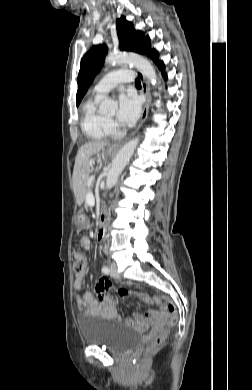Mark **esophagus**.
<instances>
[{
	"label": "esophagus",
	"instance_id": "1",
	"mask_svg": "<svg viewBox=\"0 0 252 390\" xmlns=\"http://www.w3.org/2000/svg\"><path fill=\"white\" fill-rule=\"evenodd\" d=\"M137 75L141 81V86H142V94L145 96V103L143 105V109H142V114H141V119H140V122L138 124V126L136 127L135 131L132 133V135L143 125V123L145 122L146 118H147V115H148V110H149V105H150V102H151V96H150V92H149V84L145 78V76L141 73V72H137ZM121 146V143H117L115 145H113L112 147H119Z\"/></svg>",
	"mask_w": 252,
	"mask_h": 390
}]
</instances>
